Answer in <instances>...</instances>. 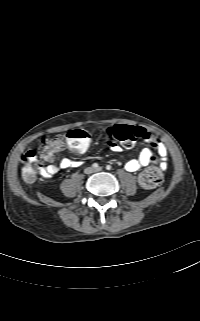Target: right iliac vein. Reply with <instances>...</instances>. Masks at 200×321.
<instances>
[{"mask_svg":"<svg viewBox=\"0 0 200 321\" xmlns=\"http://www.w3.org/2000/svg\"><path fill=\"white\" fill-rule=\"evenodd\" d=\"M93 172H94V169L92 167H88V168L85 169V173L86 174H91Z\"/></svg>","mask_w":200,"mask_h":321,"instance_id":"63e3f726","label":"right iliac vein"}]
</instances>
